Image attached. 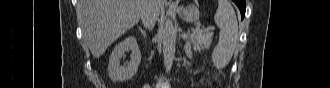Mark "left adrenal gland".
<instances>
[{
    "label": "left adrenal gland",
    "instance_id": "a2214340",
    "mask_svg": "<svg viewBox=\"0 0 330 88\" xmlns=\"http://www.w3.org/2000/svg\"><path fill=\"white\" fill-rule=\"evenodd\" d=\"M184 50L187 55L191 54V48L188 47L187 45L184 46Z\"/></svg>",
    "mask_w": 330,
    "mask_h": 88
}]
</instances>
